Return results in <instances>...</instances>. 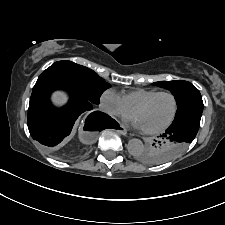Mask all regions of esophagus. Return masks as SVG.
<instances>
[{
    "label": "esophagus",
    "instance_id": "34e87169",
    "mask_svg": "<svg viewBox=\"0 0 225 225\" xmlns=\"http://www.w3.org/2000/svg\"><path fill=\"white\" fill-rule=\"evenodd\" d=\"M119 134H121V135H127V130H126V128L124 127V126H122V125H119L118 126V129L116 130Z\"/></svg>",
    "mask_w": 225,
    "mask_h": 225
}]
</instances>
